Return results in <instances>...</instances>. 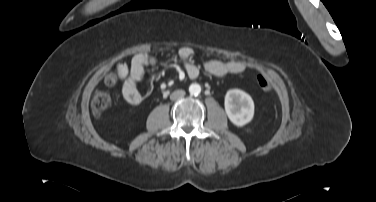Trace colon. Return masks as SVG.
I'll return each mask as SVG.
<instances>
[{
    "instance_id": "obj_1",
    "label": "colon",
    "mask_w": 376,
    "mask_h": 202,
    "mask_svg": "<svg viewBox=\"0 0 376 202\" xmlns=\"http://www.w3.org/2000/svg\"><path fill=\"white\" fill-rule=\"evenodd\" d=\"M117 82L115 74L110 73L104 79V84L108 87L114 86ZM257 86L263 91H269L271 81L265 75H259L256 79ZM111 105V98L105 91H96L91 99V109L95 116H100Z\"/></svg>"
}]
</instances>
